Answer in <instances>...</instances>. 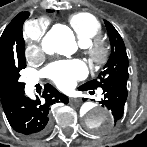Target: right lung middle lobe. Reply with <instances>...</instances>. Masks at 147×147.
<instances>
[{
	"label": "right lung middle lobe",
	"mask_w": 147,
	"mask_h": 147,
	"mask_svg": "<svg viewBox=\"0 0 147 147\" xmlns=\"http://www.w3.org/2000/svg\"><path fill=\"white\" fill-rule=\"evenodd\" d=\"M48 12H53V10H47ZM28 12H22V17L19 22V44L21 46V52L16 61H13L12 64L7 69L6 73L0 80V96L4 99L11 98L13 96L24 93L25 83L19 81L20 70L26 67L25 61V42L22 35V25L24 21L28 18Z\"/></svg>",
	"instance_id": "right-lung-middle-lobe-1"
}]
</instances>
